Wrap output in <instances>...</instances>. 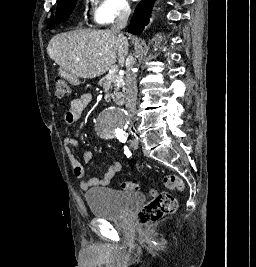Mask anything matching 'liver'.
Segmentation results:
<instances>
[{"label": "liver", "instance_id": "obj_1", "mask_svg": "<svg viewBox=\"0 0 256 267\" xmlns=\"http://www.w3.org/2000/svg\"><path fill=\"white\" fill-rule=\"evenodd\" d=\"M48 56L74 78H97L113 68L118 60L123 68L128 40L112 30H81L56 34L47 46Z\"/></svg>", "mask_w": 256, "mask_h": 267}]
</instances>
